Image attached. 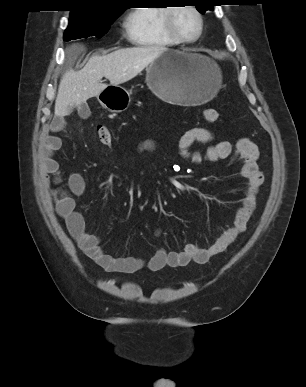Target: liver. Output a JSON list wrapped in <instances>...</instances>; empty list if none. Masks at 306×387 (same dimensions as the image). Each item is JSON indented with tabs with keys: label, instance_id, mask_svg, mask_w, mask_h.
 Instances as JSON below:
<instances>
[{
	"label": "liver",
	"instance_id": "6515ba94",
	"mask_svg": "<svg viewBox=\"0 0 306 387\" xmlns=\"http://www.w3.org/2000/svg\"><path fill=\"white\" fill-rule=\"evenodd\" d=\"M165 47L148 46L116 50L108 55H93L83 69L67 71L61 78L55 101V116H66L74 106L98 96L108 87L102 83L105 77L110 85H120L136 77L157 59Z\"/></svg>",
	"mask_w": 306,
	"mask_h": 387
}]
</instances>
